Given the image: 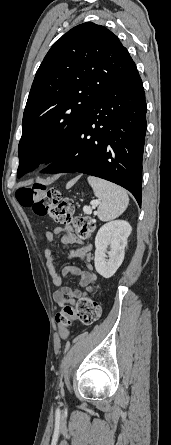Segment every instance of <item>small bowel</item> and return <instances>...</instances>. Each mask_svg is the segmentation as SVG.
<instances>
[{
    "instance_id": "1",
    "label": "small bowel",
    "mask_w": 171,
    "mask_h": 445,
    "mask_svg": "<svg viewBox=\"0 0 171 445\" xmlns=\"http://www.w3.org/2000/svg\"><path fill=\"white\" fill-rule=\"evenodd\" d=\"M43 238L48 243H53L56 239H60L63 246H68L77 241L71 227H55L51 231L45 232ZM89 246H84L83 249L75 251L72 256L81 257L86 265V269L83 270L78 266L67 265L62 269V275H59L55 268V255L52 250L45 249L44 257L46 261V266L48 273L52 279V282L59 287L58 290L53 292V300L58 307L73 306L77 298L85 296L90 288L96 282V274L92 271V257L88 253ZM76 276L79 277V285L85 290L71 289L64 283V278L66 276ZM59 331L63 337L69 335L67 328H60Z\"/></svg>"
}]
</instances>
